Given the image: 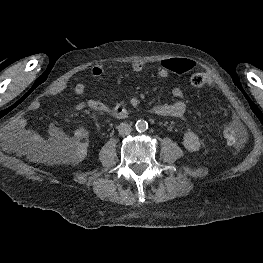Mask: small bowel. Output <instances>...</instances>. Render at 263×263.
Listing matches in <instances>:
<instances>
[{"label":"small bowel","mask_w":263,"mask_h":263,"mask_svg":"<svg viewBox=\"0 0 263 263\" xmlns=\"http://www.w3.org/2000/svg\"><path fill=\"white\" fill-rule=\"evenodd\" d=\"M190 63V70L194 67V62L189 59L181 58ZM170 59L162 60L157 68V75L160 78H167L170 73H173L167 66L166 62ZM145 64L140 60H134L131 63V70L134 73H140L144 70ZM189 70V71H190ZM104 73V68L100 64H96L91 68V74L94 77H100ZM68 80H61L50 87L45 91V95L48 97H56L61 96L68 88ZM74 93L77 96L85 97L86 87L82 83H78L74 86ZM184 95V91L180 87H175L172 90V96L177 100L170 103L156 105L152 108V112L161 117H181L186 112V103L180 100ZM138 101L136 99H132L130 101L131 107H136ZM75 108L77 110H82L84 108H90L93 110L110 113L116 117H123L119 115V110L121 108H127L121 104H107L105 102L85 97L81 102H79ZM126 115V114H125ZM233 122L237 123L235 117H233ZM19 128L20 135L22 140L28 146L30 153L36 157L40 158L44 153L64 144L69 140H86L87 131L84 128L76 129L71 136H67L64 131L55 124H51L48 129L49 137L45 138L40 133L35 130H32L28 127L27 120L22 118L19 120Z\"/></svg>","instance_id":"obj_1"}]
</instances>
